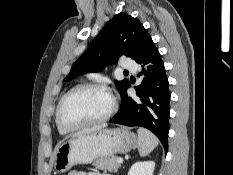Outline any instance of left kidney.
I'll return each mask as SVG.
<instances>
[{"instance_id":"1","label":"left kidney","mask_w":233,"mask_h":175,"mask_svg":"<svg viewBox=\"0 0 233 175\" xmlns=\"http://www.w3.org/2000/svg\"><path fill=\"white\" fill-rule=\"evenodd\" d=\"M154 169L153 161L136 162L130 168L128 175H153Z\"/></svg>"}]
</instances>
